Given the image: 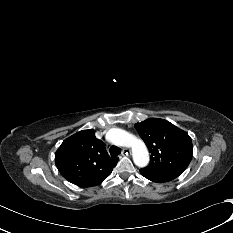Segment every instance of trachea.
<instances>
[{"instance_id": "trachea-1", "label": "trachea", "mask_w": 233, "mask_h": 233, "mask_svg": "<svg viewBox=\"0 0 233 233\" xmlns=\"http://www.w3.org/2000/svg\"><path fill=\"white\" fill-rule=\"evenodd\" d=\"M109 152L112 157H115L121 153V149L117 146H111Z\"/></svg>"}]
</instances>
